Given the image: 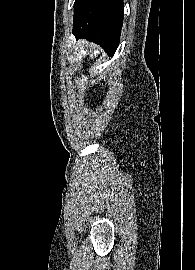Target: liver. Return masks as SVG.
Wrapping results in <instances>:
<instances>
[{
	"mask_svg": "<svg viewBox=\"0 0 195 270\" xmlns=\"http://www.w3.org/2000/svg\"><path fill=\"white\" fill-rule=\"evenodd\" d=\"M89 48H90L89 57L91 59L99 55L101 52V49L98 46H95L94 44H90Z\"/></svg>",
	"mask_w": 195,
	"mask_h": 270,
	"instance_id": "6515ba94",
	"label": "liver"
}]
</instances>
